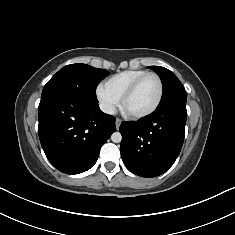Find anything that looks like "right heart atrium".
I'll return each mask as SVG.
<instances>
[{"label": "right heart atrium", "instance_id": "1", "mask_svg": "<svg viewBox=\"0 0 235 235\" xmlns=\"http://www.w3.org/2000/svg\"><path fill=\"white\" fill-rule=\"evenodd\" d=\"M99 106L106 114H113L120 104V99L111 93L103 84H99L95 90Z\"/></svg>", "mask_w": 235, "mask_h": 235}]
</instances>
